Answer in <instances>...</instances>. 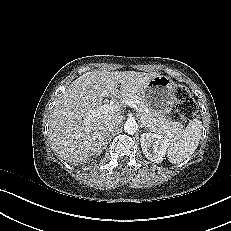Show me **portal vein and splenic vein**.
<instances>
[{
  "label": "portal vein and splenic vein",
  "instance_id": "18ae733b",
  "mask_svg": "<svg viewBox=\"0 0 231 231\" xmlns=\"http://www.w3.org/2000/svg\"><path fill=\"white\" fill-rule=\"evenodd\" d=\"M123 103L125 105H128L131 108L138 109L135 101L125 100V101H123ZM118 110H119V106L116 104H104V105L99 106L96 110H93L91 112L90 117H96L100 113L101 114H108V113H112V112L118 111Z\"/></svg>",
  "mask_w": 231,
  "mask_h": 231
}]
</instances>
